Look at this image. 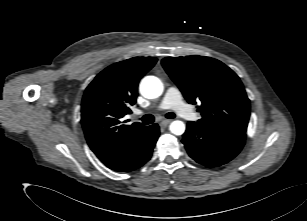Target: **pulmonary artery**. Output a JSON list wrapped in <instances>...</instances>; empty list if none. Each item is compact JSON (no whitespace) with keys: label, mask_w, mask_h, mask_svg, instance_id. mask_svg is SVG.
Returning <instances> with one entry per match:
<instances>
[{"label":"pulmonary artery","mask_w":307,"mask_h":221,"mask_svg":"<svg viewBox=\"0 0 307 221\" xmlns=\"http://www.w3.org/2000/svg\"><path fill=\"white\" fill-rule=\"evenodd\" d=\"M167 109L174 110L182 117H187L190 115V109L186 104H184L181 92L176 87H170L167 89L163 99L154 109V111H164ZM137 114H141V112L138 111Z\"/></svg>","instance_id":"e3ab8cb5"}]
</instances>
